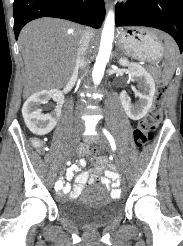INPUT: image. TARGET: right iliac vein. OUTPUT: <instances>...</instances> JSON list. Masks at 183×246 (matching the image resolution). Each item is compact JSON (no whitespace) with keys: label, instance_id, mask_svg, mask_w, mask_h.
Instances as JSON below:
<instances>
[{"label":"right iliac vein","instance_id":"63e3f726","mask_svg":"<svg viewBox=\"0 0 183 246\" xmlns=\"http://www.w3.org/2000/svg\"><path fill=\"white\" fill-rule=\"evenodd\" d=\"M81 131H82V124L80 122H77L74 125L73 130H72V133H71V138H70V144H71V146H70V152H69V154L67 153V157L68 156H71L72 147L77 142Z\"/></svg>","mask_w":183,"mask_h":246}]
</instances>
